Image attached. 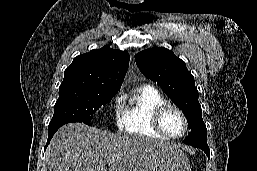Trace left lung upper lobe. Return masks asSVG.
Returning <instances> with one entry per match:
<instances>
[{"label": "left lung upper lobe", "instance_id": "5c2ea615", "mask_svg": "<svg viewBox=\"0 0 257 171\" xmlns=\"http://www.w3.org/2000/svg\"><path fill=\"white\" fill-rule=\"evenodd\" d=\"M143 75L156 82L185 114L190 132L183 141L195 146L207 144V129L202 119L194 77L184 61L165 48H149L135 55Z\"/></svg>", "mask_w": 257, "mask_h": 171}]
</instances>
